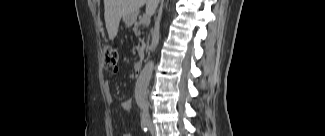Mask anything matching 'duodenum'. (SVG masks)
<instances>
[{"mask_svg":"<svg viewBox=\"0 0 325 136\" xmlns=\"http://www.w3.org/2000/svg\"><path fill=\"white\" fill-rule=\"evenodd\" d=\"M142 68H143V62L142 61L137 62L134 66L135 74L139 75L142 71Z\"/></svg>","mask_w":325,"mask_h":136,"instance_id":"duodenum-1","label":"duodenum"}]
</instances>
